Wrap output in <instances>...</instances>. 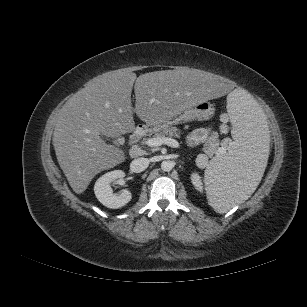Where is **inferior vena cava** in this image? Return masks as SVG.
Returning a JSON list of instances; mask_svg holds the SVG:
<instances>
[{"instance_id":"1","label":"inferior vena cava","mask_w":307,"mask_h":307,"mask_svg":"<svg viewBox=\"0 0 307 307\" xmlns=\"http://www.w3.org/2000/svg\"><path fill=\"white\" fill-rule=\"evenodd\" d=\"M149 166L148 158H136L130 163V170L134 173H140Z\"/></svg>"}]
</instances>
